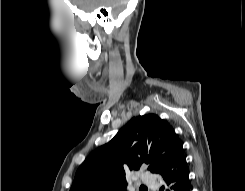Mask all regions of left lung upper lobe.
<instances>
[{"label": "left lung upper lobe", "instance_id": "5c2ea615", "mask_svg": "<svg viewBox=\"0 0 245 191\" xmlns=\"http://www.w3.org/2000/svg\"><path fill=\"white\" fill-rule=\"evenodd\" d=\"M182 143L173 128L155 114L132 118L105 145L93 151L76 172L70 191H118L127 186L126 173L142 165L159 174Z\"/></svg>", "mask_w": 245, "mask_h": 191}]
</instances>
